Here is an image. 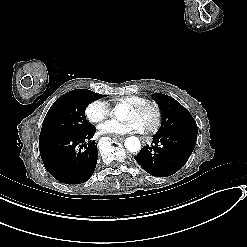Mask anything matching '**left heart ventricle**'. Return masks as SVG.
<instances>
[{"instance_id": "1", "label": "left heart ventricle", "mask_w": 247, "mask_h": 247, "mask_svg": "<svg viewBox=\"0 0 247 247\" xmlns=\"http://www.w3.org/2000/svg\"><path fill=\"white\" fill-rule=\"evenodd\" d=\"M126 119L137 120L144 132H147L154 124L155 121V111L151 106L145 107L139 112H135L131 109H127Z\"/></svg>"}]
</instances>
